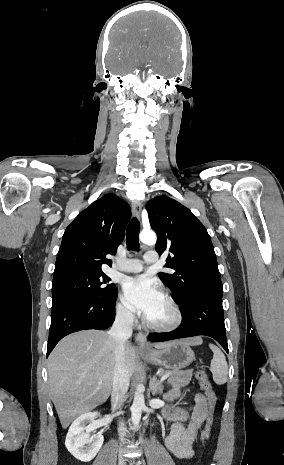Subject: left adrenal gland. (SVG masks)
Masks as SVG:
<instances>
[{
    "label": "left adrenal gland",
    "instance_id": "obj_1",
    "mask_svg": "<svg viewBox=\"0 0 284 465\" xmlns=\"http://www.w3.org/2000/svg\"><path fill=\"white\" fill-rule=\"evenodd\" d=\"M149 387H150V389L152 391L153 397H155V395H162L164 385H163V383H160V381H159V379H157L156 375H154V377H152V379H150Z\"/></svg>",
    "mask_w": 284,
    "mask_h": 465
}]
</instances>
